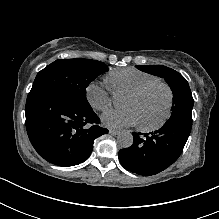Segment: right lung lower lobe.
Listing matches in <instances>:
<instances>
[{
    "mask_svg": "<svg viewBox=\"0 0 219 219\" xmlns=\"http://www.w3.org/2000/svg\"><path fill=\"white\" fill-rule=\"evenodd\" d=\"M28 137L40 156L58 166H74L91 154L95 138L108 133L91 106L49 90L30 91L25 107Z\"/></svg>",
    "mask_w": 219,
    "mask_h": 219,
    "instance_id": "1",
    "label": "right lung lower lobe"
}]
</instances>
